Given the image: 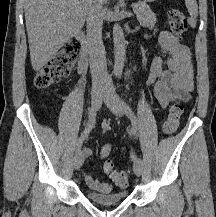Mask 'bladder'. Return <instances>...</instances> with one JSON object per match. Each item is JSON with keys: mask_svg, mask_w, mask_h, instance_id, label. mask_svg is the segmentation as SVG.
Returning <instances> with one entry per match:
<instances>
[{"mask_svg": "<svg viewBox=\"0 0 216 217\" xmlns=\"http://www.w3.org/2000/svg\"><path fill=\"white\" fill-rule=\"evenodd\" d=\"M86 196L90 201L96 204L113 205L123 202L127 198L128 192L126 190H120L108 193H97L88 190Z\"/></svg>", "mask_w": 216, "mask_h": 217, "instance_id": "obj_1", "label": "bladder"}]
</instances>
